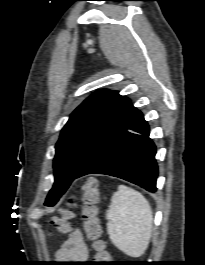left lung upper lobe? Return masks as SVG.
<instances>
[{"mask_svg": "<svg viewBox=\"0 0 205 265\" xmlns=\"http://www.w3.org/2000/svg\"><path fill=\"white\" fill-rule=\"evenodd\" d=\"M137 109L116 91L99 90L70 116L55 146V182L45 205L54 206L85 164L124 126Z\"/></svg>", "mask_w": 205, "mask_h": 265, "instance_id": "1", "label": "left lung upper lobe"}]
</instances>
